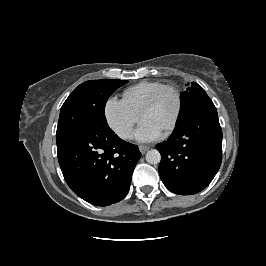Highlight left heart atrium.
<instances>
[{
    "instance_id": "obj_1",
    "label": "left heart atrium",
    "mask_w": 266,
    "mask_h": 266,
    "mask_svg": "<svg viewBox=\"0 0 266 266\" xmlns=\"http://www.w3.org/2000/svg\"><path fill=\"white\" fill-rule=\"evenodd\" d=\"M161 132L162 130L154 123L147 119H143L135 133V137L141 142H149L159 138Z\"/></svg>"
}]
</instances>
